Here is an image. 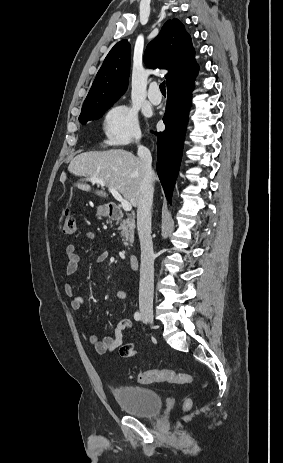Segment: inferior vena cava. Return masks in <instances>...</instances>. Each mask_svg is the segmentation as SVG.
I'll return each mask as SVG.
<instances>
[{"mask_svg":"<svg viewBox=\"0 0 283 463\" xmlns=\"http://www.w3.org/2000/svg\"><path fill=\"white\" fill-rule=\"evenodd\" d=\"M137 154L144 167V178L140 186L137 208V230L141 247L139 284L140 311L153 310L154 252L151 238V206L153 202L152 156L148 148L138 145Z\"/></svg>","mask_w":283,"mask_h":463,"instance_id":"obj_1","label":"inferior vena cava"}]
</instances>
